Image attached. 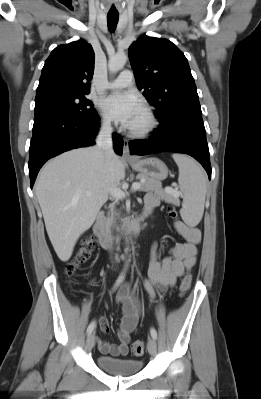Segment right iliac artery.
<instances>
[{"label": "right iliac artery", "instance_id": "1", "mask_svg": "<svg viewBox=\"0 0 261 399\" xmlns=\"http://www.w3.org/2000/svg\"><path fill=\"white\" fill-rule=\"evenodd\" d=\"M124 278H125V272L123 271L116 280L112 288V291H115L118 288V286L123 282ZM95 327H96V322L92 321L87 328V334H91Z\"/></svg>", "mask_w": 261, "mask_h": 399}]
</instances>
